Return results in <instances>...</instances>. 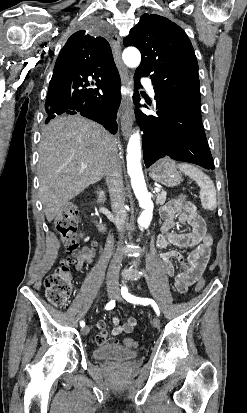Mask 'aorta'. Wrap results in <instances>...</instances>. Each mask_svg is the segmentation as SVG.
I'll return each mask as SVG.
<instances>
[{
	"label": "aorta",
	"instance_id": "762f6f07",
	"mask_svg": "<svg viewBox=\"0 0 247 413\" xmlns=\"http://www.w3.org/2000/svg\"><path fill=\"white\" fill-rule=\"evenodd\" d=\"M124 63L130 68H136L141 62V54L138 49L128 47L122 54ZM127 169L131 179V185L135 196L143 209L138 223L140 226H149L153 215V202L151 193L147 190L141 165V145L139 131L133 133L127 145Z\"/></svg>",
	"mask_w": 247,
	"mask_h": 413
}]
</instances>
